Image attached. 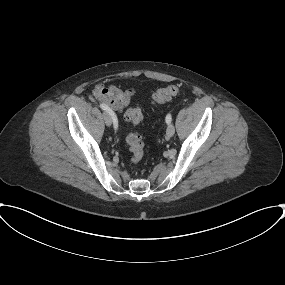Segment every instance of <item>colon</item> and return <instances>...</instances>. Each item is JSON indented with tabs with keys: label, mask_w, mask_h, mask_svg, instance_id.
Wrapping results in <instances>:
<instances>
[{
	"label": "colon",
	"mask_w": 285,
	"mask_h": 285,
	"mask_svg": "<svg viewBox=\"0 0 285 285\" xmlns=\"http://www.w3.org/2000/svg\"><path fill=\"white\" fill-rule=\"evenodd\" d=\"M180 92V88L176 85H170L164 88H159L152 96L154 104H163L170 100L173 96ZM125 120L138 124L143 120V113L138 108H129L125 112ZM126 143L131 153V161L133 164H138L144 157V143L142 137L135 132H130L126 137Z\"/></svg>",
	"instance_id": "obj_1"
}]
</instances>
